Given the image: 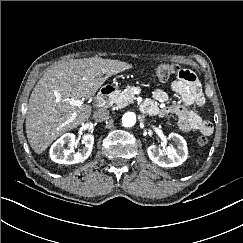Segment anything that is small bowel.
Here are the masks:
<instances>
[{"label": "small bowel", "instance_id": "small-bowel-1", "mask_svg": "<svg viewBox=\"0 0 243 243\" xmlns=\"http://www.w3.org/2000/svg\"><path fill=\"white\" fill-rule=\"evenodd\" d=\"M188 73L189 77L177 78L171 83V89L181 97L180 103L164 105L163 103L168 100V94L158 88L153 92V99L143 103L142 109L146 113L158 117L175 115L181 130L198 131L209 136L213 133V125L202 119L192 108L194 105L203 104L204 96L196 76L190 71Z\"/></svg>", "mask_w": 243, "mask_h": 243}]
</instances>
